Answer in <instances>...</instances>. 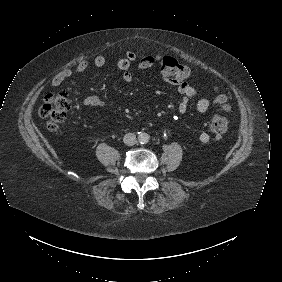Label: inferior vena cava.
<instances>
[{
    "label": "inferior vena cava",
    "instance_id": "obj_1",
    "mask_svg": "<svg viewBox=\"0 0 282 282\" xmlns=\"http://www.w3.org/2000/svg\"><path fill=\"white\" fill-rule=\"evenodd\" d=\"M123 142L127 146H133L137 143L136 135L134 133H127L123 137Z\"/></svg>",
    "mask_w": 282,
    "mask_h": 282
}]
</instances>
